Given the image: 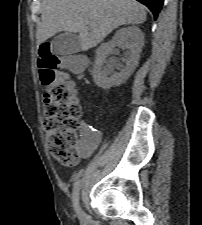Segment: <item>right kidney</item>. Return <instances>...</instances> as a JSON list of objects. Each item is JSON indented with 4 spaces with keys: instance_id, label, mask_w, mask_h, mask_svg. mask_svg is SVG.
Here are the masks:
<instances>
[{
    "instance_id": "1",
    "label": "right kidney",
    "mask_w": 202,
    "mask_h": 225,
    "mask_svg": "<svg viewBox=\"0 0 202 225\" xmlns=\"http://www.w3.org/2000/svg\"><path fill=\"white\" fill-rule=\"evenodd\" d=\"M143 45L144 34L138 27L131 26L118 30L111 41L102 44L97 50L93 66L95 84L103 89H109L126 81L138 65ZM116 46L127 50L122 58L125 65L120 64L115 58H111L104 66L108 54ZM115 68L119 72H115Z\"/></svg>"
}]
</instances>
